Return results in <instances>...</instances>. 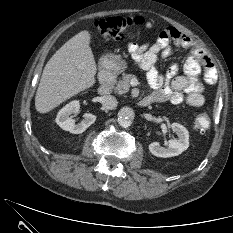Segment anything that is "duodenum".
I'll return each instance as SVG.
<instances>
[{"label":"duodenum","instance_id":"1","mask_svg":"<svg viewBox=\"0 0 233 233\" xmlns=\"http://www.w3.org/2000/svg\"><path fill=\"white\" fill-rule=\"evenodd\" d=\"M116 69L111 61L106 60L101 64L99 71L100 85L98 87V93L100 95H106L110 92L113 80L115 78ZM150 100L146 97L141 99L138 104L141 107H146L150 104Z\"/></svg>","mask_w":233,"mask_h":233}]
</instances>
